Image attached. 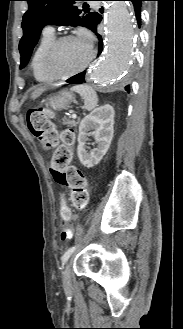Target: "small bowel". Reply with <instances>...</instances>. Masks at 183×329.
<instances>
[{
  "label": "small bowel",
  "instance_id": "1",
  "mask_svg": "<svg viewBox=\"0 0 183 329\" xmlns=\"http://www.w3.org/2000/svg\"><path fill=\"white\" fill-rule=\"evenodd\" d=\"M56 193L61 194L60 196L63 198L65 196L64 194L67 193V188L66 187H57ZM71 211H72L71 206H60L58 216H59V218H70Z\"/></svg>",
  "mask_w": 183,
  "mask_h": 329
}]
</instances>
